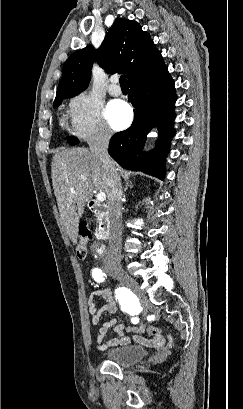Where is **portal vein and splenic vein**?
I'll return each instance as SVG.
<instances>
[{"label": "portal vein and splenic vein", "instance_id": "obj_1", "mask_svg": "<svg viewBox=\"0 0 243 409\" xmlns=\"http://www.w3.org/2000/svg\"><path fill=\"white\" fill-rule=\"evenodd\" d=\"M96 199H97L99 202H103V201L106 200V194H105L104 192H99V193H97V195H96Z\"/></svg>", "mask_w": 243, "mask_h": 409}]
</instances>
